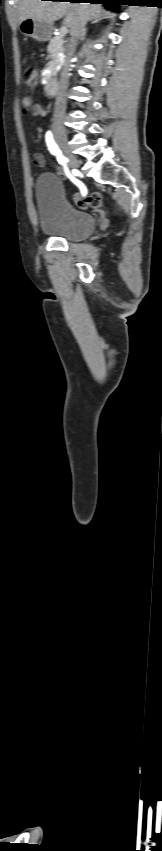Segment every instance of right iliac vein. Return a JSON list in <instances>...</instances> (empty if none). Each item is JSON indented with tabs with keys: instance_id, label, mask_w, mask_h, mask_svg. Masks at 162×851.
Returning a JSON list of instances; mask_svg holds the SVG:
<instances>
[{
	"instance_id": "63e3f726",
	"label": "right iliac vein",
	"mask_w": 162,
	"mask_h": 851,
	"mask_svg": "<svg viewBox=\"0 0 162 851\" xmlns=\"http://www.w3.org/2000/svg\"><path fill=\"white\" fill-rule=\"evenodd\" d=\"M58 144H59L60 148L62 149V151L65 153V155L68 159V163H69L70 168H72V169L78 168V166H79L78 160H77L76 156L71 152L67 142L64 139H59Z\"/></svg>"
}]
</instances>
